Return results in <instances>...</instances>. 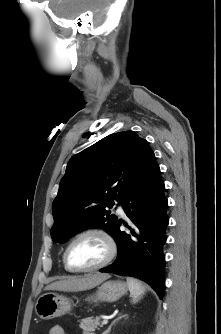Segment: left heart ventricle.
<instances>
[{"label":"left heart ventricle","mask_w":221,"mask_h":334,"mask_svg":"<svg viewBox=\"0 0 221 334\" xmlns=\"http://www.w3.org/2000/svg\"><path fill=\"white\" fill-rule=\"evenodd\" d=\"M107 255L105 241L96 235L77 240L69 251V262L77 268H86L100 263Z\"/></svg>","instance_id":"1"}]
</instances>
